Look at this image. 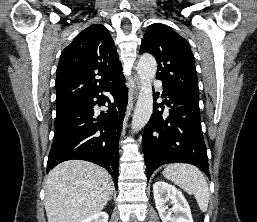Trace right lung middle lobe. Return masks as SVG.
<instances>
[{"label": "right lung middle lobe", "mask_w": 257, "mask_h": 222, "mask_svg": "<svg viewBox=\"0 0 257 222\" xmlns=\"http://www.w3.org/2000/svg\"><path fill=\"white\" fill-rule=\"evenodd\" d=\"M83 100L80 101H76V102H71V103H65V104H57L56 105V113H60L66 109H68L69 107L73 106V105H77V104H81Z\"/></svg>", "instance_id": "right-lung-middle-lobe-1"}]
</instances>
